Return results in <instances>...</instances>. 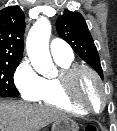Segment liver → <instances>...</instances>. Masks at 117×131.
Wrapping results in <instances>:
<instances>
[{"mask_svg":"<svg viewBox=\"0 0 117 131\" xmlns=\"http://www.w3.org/2000/svg\"><path fill=\"white\" fill-rule=\"evenodd\" d=\"M61 118L67 115L49 106L0 100V131H39Z\"/></svg>","mask_w":117,"mask_h":131,"instance_id":"6515ba94","label":"liver"}]
</instances>
